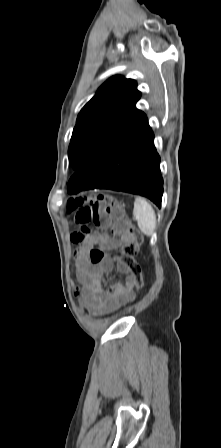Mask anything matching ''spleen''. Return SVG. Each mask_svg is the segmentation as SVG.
Wrapping results in <instances>:
<instances>
[{
  "mask_svg": "<svg viewBox=\"0 0 221 448\" xmlns=\"http://www.w3.org/2000/svg\"><path fill=\"white\" fill-rule=\"evenodd\" d=\"M133 215L142 233L146 236H152L156 227V215L152 206L145 199L136 197Z\"/></svg>",
  "mask_w": 221,
  "mask_h": 448,
  "instance_id": "spleen-1",
  "label": "spleen"
}]
</instances>
